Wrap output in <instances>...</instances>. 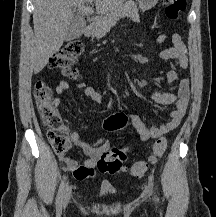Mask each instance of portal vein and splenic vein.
I'll return each instance as SVG.
<instances>
[{
    "label": "portal vein and splenic vein",
    "mask_w": 216,
    "mask_h": 217,
    "mask_svg": "<svg viewBox=\"0 0 216 217\" xmlns=\"http://www.w3.org/2000/svg\"><path fill=\"white\" fill-rule=\"evenodd\" d=\"M93 0H86V3L91 4Z\"/></svg>",
    "instance_id": "obj_1"
}]
</instances>
